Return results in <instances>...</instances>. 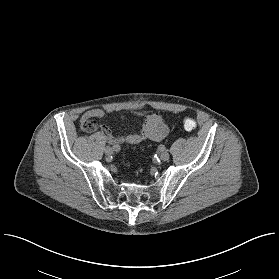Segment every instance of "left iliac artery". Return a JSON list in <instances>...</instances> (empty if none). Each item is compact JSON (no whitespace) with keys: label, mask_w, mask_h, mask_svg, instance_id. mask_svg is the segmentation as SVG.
<instances>
[{"label":"left iliac artery","mask_w":279,"mask_h":279,"mask_svg":"<svg viewBox=\"0 0 279 279\" xmlns=\"http://www.w3.org/2000/svg\"><path fill=\"white\" fill-rule=\"evenodd\" d=\"M159 149H160V150H165L166 147H165L164 145H160V146H159Z\"/></svg>","instance_id":"44dca946"}]
</instances>
